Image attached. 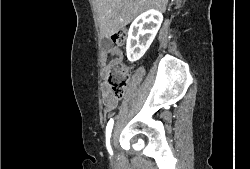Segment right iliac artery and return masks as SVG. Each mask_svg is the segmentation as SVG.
<instances>
[{
    "instance_id": "82829eb1",
    "label": "right iliac artery",
    "mask_w": 250,
    "mask_h": 169,
    "mask_svg": "<svg viewBox=\"0 0 250 169\" xmlns=\"http://www.w3.org/2000/svg\"><path fill=\"white\" fill-rule=\"evenodd\" d=\"M113 124H114V120L110 119V121L108 122L107 127H106V145H107V149L111 155L113 154V151H112L111 146H110V137H111V132L113 129Z\"/></svg>"
}]
</instances>
